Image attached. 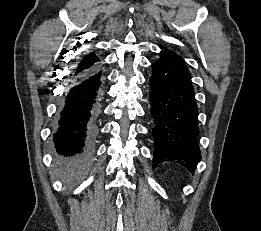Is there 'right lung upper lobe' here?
Returning <instances> with one entry per match:
<instances>
[{
    "mask_svg": "<svg viewBox=\"0 0 261 231\" xmlns=\"http://www.w3.org/2000/svg\"><path fill=\"white\" fill-rule=\"evenodd\" d=\"M100 59L94 54L90 53L82 58L77 68L74 70L73 74H71L72 78L81 76L90 70L99 66Z\"/></svg>",
    "mask_w": 261,
    "mask_h": 231,
    "instance_id": "1",
    "label": "right lung upper lobe"
}]
</instances>
